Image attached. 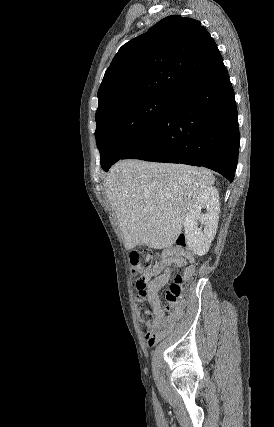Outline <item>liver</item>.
<instances>
[{
    "instance_id": "obj_1",
    "label": "liver",
    "mask_w": 274,
    "mask_h": 427,
    "mask_svg": "<svg viewBox=\"0 0 274 427\" xmlns=\"http://www.w3.org/2000/svg\"><path fill=\"white\" fill-rule=\"evenodd\" d=\"M206 168L121 160L104 178L126 249L138 243L163 249L175 243L197 196L214 184Z\"/></svg>"
}]
</instances>
